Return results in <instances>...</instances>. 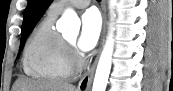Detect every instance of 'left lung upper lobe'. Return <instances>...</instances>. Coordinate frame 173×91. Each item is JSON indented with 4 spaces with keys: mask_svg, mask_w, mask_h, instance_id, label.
Masks as SVG:
<instances>
[{
    "mask_svg": "<svg viewBox=\"0 0 173 91\" xmlns=\"http://www.w3.org/2000/svg\"><path fill=\"white\" fill-rule=\"evenodd\" d=\"M34 3H35V0H28V5H27V7H26V9L24 11V16H23L22 31L25 28V24H26L27 17H28V12L31 10V8L34 5Z\"/></svg>",
    "mask_w": 173,
    "mask_h": 91,
    "instance_id": "5c2ea615",
    "label": "left lung upper lobe"
}]
</instances>
